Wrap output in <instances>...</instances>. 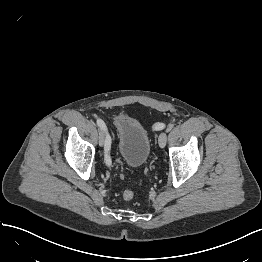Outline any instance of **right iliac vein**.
Returning <instances> with one entry per match:
<instances>
[{
	"label": "right iliac vein",
	"mask_w": 262,
	"mask_h": 262,
	"mask_svg": "<svg viewBox=\"0 0 262 262\" xmlns=\"http://www.w3.org/2000/svg\"><path fill=\"white\" fill-rule=\"evenodd\" d=\"M106 142V133L103 129L99 130V146H104Z\"/></svg>",
	"instance_id": "obj_1"
}]
</instances>
